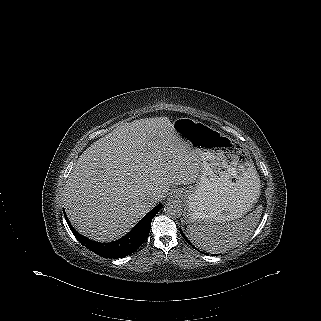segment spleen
I'll return each instance as SVG.
<instances>
[{"label":"spleen","mask_w":321,"mask_h":321,"mask_svg":"<svg viewBox=\"0 0 321 321\" xmlns=\"http://www.w3.org/2000/svg\"><path fill=\"white\" fill-rule=\"evenodd\" d=\"M262 214V206L252 213L223 225L212 222L190 223L187 234L199 248L209 253H224L234 249L246 241L254 232Z\"/></svg>","instance_id":"3e777b00"}]
</instances>
